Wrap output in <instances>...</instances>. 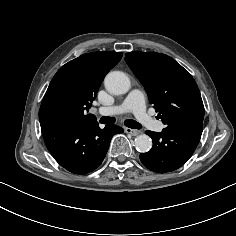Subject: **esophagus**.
<instances>
[{
	"mask_svg": "<svg viewBox=\"0 0 236 236\" xmlns=\"http://www.w3.org/2000/svg\"><path fill=\"white\" fill-rule=\"evenodd\" d=\"M125 132L131 134L132 136H137L140 134V131L131 128H125Z\"/></svg>",
	"mask_w": 236,
	"mask_h": 236,
	"instance_id": "obj_1",
	"label": "esophagus"
}]
</instances>
